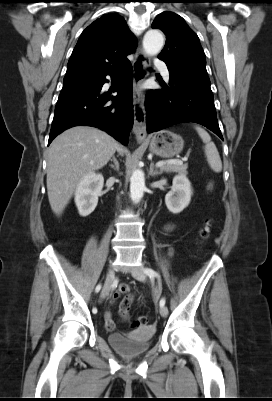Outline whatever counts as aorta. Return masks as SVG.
<instances>
[{"label":"aorta","mask_w":272,"mask_h":401,"mask_svg":"<svg viewBox=\"0 0 272 401\" xmlns=\"http://www.w3.org/2000/svg\"><path fill=\"white\" fill-rule=\"evenodd\" d=\"M164 46L163 34L158 30H149L143 38V48L147 55H157ZM145 177L140 169H135L130 178V197L134 203L140 202L145 191Z\"/></svg>","instance_id":"obj_1"}]
</instances>
